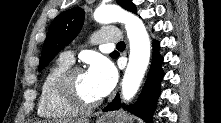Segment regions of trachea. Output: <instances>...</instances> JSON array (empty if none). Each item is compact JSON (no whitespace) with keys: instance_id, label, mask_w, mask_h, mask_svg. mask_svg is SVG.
<instances>
[{"instance_id":"trachea-1","label":"trachea","mask_w":221,"mask_h":123,"mask_svg":"<svg viewBox=\"0 0 221 123\" xmlns=\"http://www.w3.org/2000/svg\"><path fill=\"white\" fill-rule=\"evenodd\" d=\"M117 47H125L124 41H120L119 43H117Z\"/></svg>"}]
</instances>
